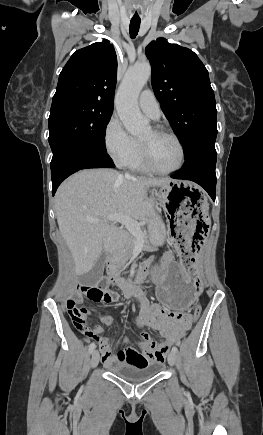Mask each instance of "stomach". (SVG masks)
Segmentation results:
<instances>
[{"label": "stomach", "mask_w": 263, "mask_h": 435, "mask_svg": "<svg viewBox=\"0 0 263 435\" xmlns=\"http://www.w3.org/2000/svg\"><path fill=\"white\" fill-rule=\"evenodd\" d=\"M155 195L168 222H172L168 230L178 260L163 258L159 268L146 273L144 279L153 282L158 305H165L166 310H189L204 286L198 277L203 274L198 269V256L212 230L207 198L196 184L185 180H172Z\"/></svg>", "instance_id": "obj_1"}]
</instances>
